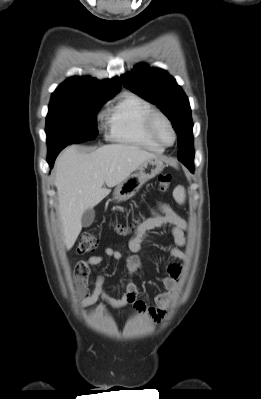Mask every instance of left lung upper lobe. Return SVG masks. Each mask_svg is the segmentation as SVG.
Segmentation results:
<instances>
[{"label":"left lung upper lobe","mask_w":261,"mask_h":399,"mask_svg":"<svg viewBox=\"0 0 261 399\" xmlns=\"http://www.w3.org/2000/svg\"><path fill=\"white\" fill-rule=\"evenodd\" d=\"M123 85L145 100L159 106L178 135V159L193 162L192 118L189 101L182 88L166 71L143 64L121 76Z\"/></svg>","instance_id":"5c2ea615"}]
</instances>
